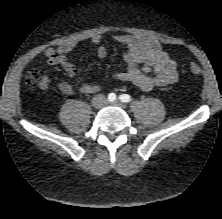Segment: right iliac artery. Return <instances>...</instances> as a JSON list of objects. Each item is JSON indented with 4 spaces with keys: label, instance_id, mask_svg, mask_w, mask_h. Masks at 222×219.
<instances>
[{
    "label": "right iliac artery",
    "instance_id": "82829eb1",
    "mask_svg": "<svg viewBox=\"0 0 222 219\" xmlns=\"http://www.w3.org/2000/svg\"><path fill=\"white\" fill-rule=\"evenodd\" d=\"M108 100L111 101V102L115 101V100H116V95H115V93H110V94L108 95Z\"/></svg>",
    "mask_w": 222,
    "mask_h": 219
}]
</instances>
